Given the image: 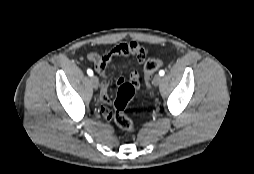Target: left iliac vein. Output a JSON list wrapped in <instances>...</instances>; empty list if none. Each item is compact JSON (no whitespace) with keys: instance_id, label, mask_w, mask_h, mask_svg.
<instances>
[{"instance_id":"1","label":"left iliac vein","mask_w":254,"mask_h":174,"mask_svg":"<svg viewBox=\"0 0 254 174\" xmlns=\"http://www.w3.org/2000/svg\"><path fill=\"white\" fill-rule=\"evenodd\" d=\"M161 81H162V77L159 74L154 76V78H153V84L155 86H158L161 83Z\"/></svg>"}]
</instances>
